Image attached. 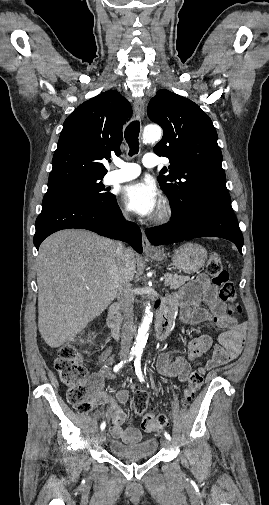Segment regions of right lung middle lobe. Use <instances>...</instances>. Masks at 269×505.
I'll use <instances>...</instances> for the list:
<instances>
[{
  "label": "right lung middle lobe",
  "instance_id": "right-lung-middle-lobe-1",
  "mask_svg": "<svg viewBox=\"0 0 269 505\" xmlns=\"http://www.w3.org/2000/svg\"><path fill=\"white\" fill-rule=\"evenodd\" d=\"M100 179L102 178L48 189L43 202L60 198H77L98 206L106 205L115 199V195L108 192L109 189L99 181Z\"/></svg>",
  "mask_w": 269,
  "mask_h": 505
}]
</instances>
